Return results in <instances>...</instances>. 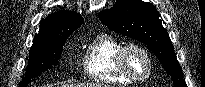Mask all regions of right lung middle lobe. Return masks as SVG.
<instances>
[{
	"label": "right lung middle lobe",
	"mask_w": 205,
	"mask_h": 87,
	"mask_svg": "<svg viewBox=\"0 0 205 87\" xmlns=\"http://www.w3.org/2000/svg\"><path fill=\"white\" fill-rule=\"evenodd\" d=\"M67 37L34 42L29 53L25 77L19 87L26 86L30 79L57 65Z\"/></svg>",
	"instance_id": "right-lung-middle-lobe-1"
}]
</instances>
